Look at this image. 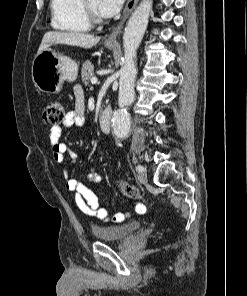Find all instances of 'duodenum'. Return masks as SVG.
<instances>
[{
	"label": "duodenum",
	"mask_w": 247,
	"mask_h": 296,
	"mask_svg": "<svg viewBox=\"0 0 247 296\" xmlns=\"http://www.w3.org/2000/svg\"><path fill=\"white\" fill-rule=\"evenodd\" d=\"M99 126L101 131L108 135L112 130V112L110 107H105L99 116Z\"/></svg>",
	"instance_id": "obj_1"
}]
</instances>
